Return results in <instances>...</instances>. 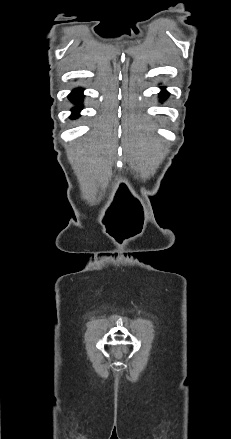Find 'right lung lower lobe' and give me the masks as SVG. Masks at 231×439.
<instances>
[{
    "instance_id": "1",
    "label": "right lung lower lobe",
    "mask_w": 231,
    "mask_h": 439,
    "mask_svg": "<svg viewBox=\"0 0 231 439\" xmlns=\"http://www.w3.org/2000/svg\"><path fill=\"white\" fill-rule=\"evenodd\" d=\"M69 100L75 104H77V107L72 109L73 114L70 116V118L75 119L79 116V111L82 109L81 100L83 99V93L82 89H75L72 91V93L68 96Z\"/></svg>"
}]
</instances>
